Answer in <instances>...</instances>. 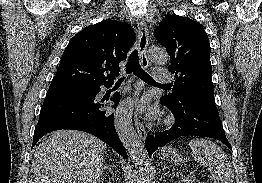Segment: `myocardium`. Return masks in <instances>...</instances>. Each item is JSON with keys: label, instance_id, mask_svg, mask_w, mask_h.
Here are the masks:
<instances>
[{"label": "myocardium", "instance_id": "myocardium-1", "mask_svg": "<svg viewBox=\"0 0 262 183\" xmlns=\"http://www.w3.org/2000/svg\"><path fill=\"white\" fill-rule=\"evenodd\" d=\"M164 123L166 125H171L173 123V117L171 115H168L165 120H164Z\"/></svg>", "mask_w": 262, "mask_h": 183}]
</instances>
